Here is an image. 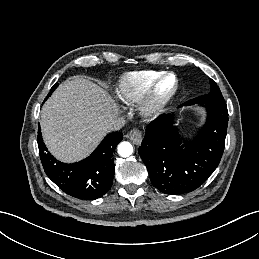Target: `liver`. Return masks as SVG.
Listing matches in <instances>:
<instances>
[{"instance_id":"liver-1","label":"liver","mask_w":259,"mask_h":259,"mask_svg":"<svg viewBox=\"0 0 259 259\" xmlns=\"http://www.w3.org/2000/svg\"><path fill=\"white\" fill-rule=\"evenodd\" d=\"M119 107L106 90L82 76L59 85L44 103L40 125L46 146L58 160L87 157L109 133Z\"/></svg>"}]
</instances>
